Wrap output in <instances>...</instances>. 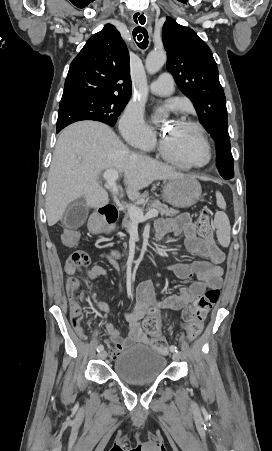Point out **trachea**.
<instances>
[{
  "mask_svg": "<svg viewBox=\"0 0 272 451\" xmlns=\"http://www.w3.org/2000/svg\"><path fill=\"white\" fill-rule=\"evenodd\" d=\"M136 23L137 19L135 20ZM146 19L143 17L142 20H139V23L141 25H144ZM137 37V45L141 48V49H145L148 46V32L145 28L143 27H136L133 30V38L135 39Z\"/></svg>",
  "mask_w": 272,
  "mask_h": 451,
  "instance_id": "1",
  "label": "trachea"
}]
</instances>
